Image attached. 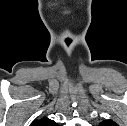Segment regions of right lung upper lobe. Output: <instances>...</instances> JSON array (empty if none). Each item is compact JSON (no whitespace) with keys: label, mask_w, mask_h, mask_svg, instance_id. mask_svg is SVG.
<instances>
[{"label":"right lung upper lobe","mask_w":127,"mask_h":126,"mask_svg":"<svg viewBox=\"0 0 127 126\" xmlns=\"http://www.w3.org/2000/svg\"><path fill=\"white\" fill-rule=\"evenodd\" d=\"M31 126H58V125L54 121L48 119L47 117H43L39 120L34 121Z\"/></svg>","instance_id":"right-lung-upper-lobe-1"}]
</instances>
